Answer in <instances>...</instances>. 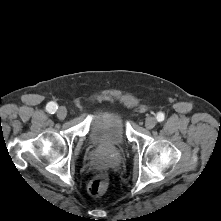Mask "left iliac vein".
I'll list each match as a JSON object with an SVG mask.
<instances>
[{"label":"left iliac vein","mask_w":221,"mask_h":221,"mask_svg":"<svg viewBox=\"0 0 221 221\" xmlns=\"http://www.w3.org/2000/svg\"><path fill=\"white\" fill-rule=\"evenodd\" d=\"M156 123H157L156 119L153 116H149L146 118L145 127L147 129H152L155 127Z\"/></svg>","instance_id":"obj_1"}]
</instances>
